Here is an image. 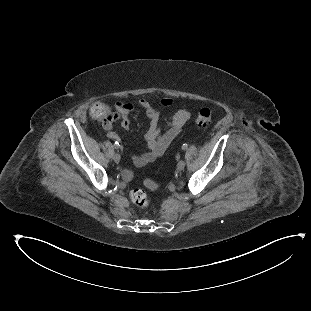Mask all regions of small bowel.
I'll list each match as a JSON object with an SVG mask.
<instances>
[{"mask_svg":"<svg viewBox=\"0 0 311 311\" xmlns=\"http://www.w3.org/2000/svg\"><path fill=\"white\" fill-rule=\"evenodd\" d=\"M161 105L170 107L172 101L164 99L161 101ZM138 106L144 111L149 121L148 129L145 134L147 148L143 152L133 154L132 162L137 167H143L163 155L171 142L181 132L189 118V113L184 109L177 110L172 117L165 119V128L162 129L160 126V114L151 101L142 98L138 101ZM114 107L117 117L121 121V128L123 130H128L131 126L135 105L132 102L117 101ZM104 129L109 138L113 140L119 139L118 134L112 131V125L104 126Z\"/></svg>","mask_w":311,"mask_h":311,"instance_id":"obj_1","label":"small bowel"}]
</instances>
